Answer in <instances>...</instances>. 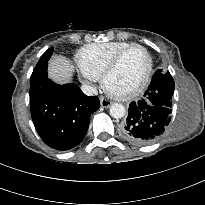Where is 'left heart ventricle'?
Returning <instances> with one entry per match:
<instances>
[{
	"mask_svg": "<svg viewBox=\"0 0 205 205\" xmlns=\"http://www.w3.org/2000/svg\"><path fill=\"white\" fill-rule=\"evenodd\" d=\"M147 69V57L138 48L129 51L116 70L108 77L107 87L117 94L127 93L142 81Z\"/></svg>",
	"mask_w": 205,
	"mask_h": 205,
	"instance_id": "left-heart-ventricle-1",
	"label": "left heart ventricle"
}]
</instances>
